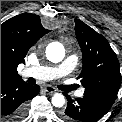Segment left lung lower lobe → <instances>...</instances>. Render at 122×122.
Segmentation results:
<instances>
[{
  "mask_svg": "<svg viewBox=\"0 0 122 122\" xmlns=\"http://www.w3.org/2000/svg\"><path fill=\"white\" fill-rule=\"evenodd\" d=\"M65 96L68 104L61 112V117L65 122H95L102 118L112 106L91 96L84 95L76 101H73L67 94Z\"/></svg>",
  "mask_w": 122,
  "mask_h": 122,
  "instance_id": "left-lung-lower-lobe-1",
  "label": "left lung lower lobe"
}]
</instances>
